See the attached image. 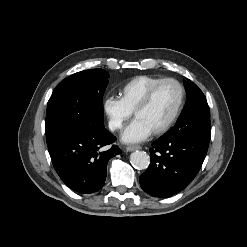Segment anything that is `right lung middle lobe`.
Returning <instances> with one entry per match:
<instances>
[{"label":"right lung middle lobe","mask_w":247,"mask_h":247,"mask_svg":"<svg viewBox=\"0 0 247 247\" xmlns=\"http://www.w3.org/2000/svg\"><path fill=\"white\" fill-rule=\"evenodd\" d=\"M108 78L105 70L91 69L63 79L48 101L46 139L103 126L102 97Z\"/></svg>","instance_id":"dd1d6c3e"}]
</instances>
